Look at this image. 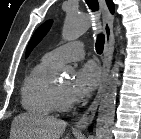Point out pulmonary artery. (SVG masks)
I'll list each match as a JSON object with an SVG mask.
<instances>
[{"label": "pulmonary artery", "instance_id": "obj_1", "mask_svg": "<svg viewBox=\"0 0 141 139\" xmlns=\"http://www.w3.org/2000/svg\"><path fill=\"white\" fill-rule=\"evenodd\" d=\"M85 49L81 42H70L61 45L45 54V58L55 65L77 61L84 57Z\"/></svg>", "mask_w": 141, "mask_h": 139}]
</instances>
